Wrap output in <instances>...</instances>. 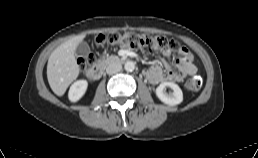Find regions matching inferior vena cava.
Masks as SVG:
<instances>
[{"label": "inferior vena cava", "instance_id": "inferior-vena-cava-1", "mask_svg": "<svg viewBox=\"0 0 258 158\" xmlns=\"http://www.w3.org/2000/svg\"><path fill=\"white\" fill-rule=\"evenodd\" d=\"M121 69H122V65L119 62H113L107 66L106 72L107 74L112 75L121 71Z\"/></svg>", "mask_w": 258, "mask_h": 158}]
</instances>
